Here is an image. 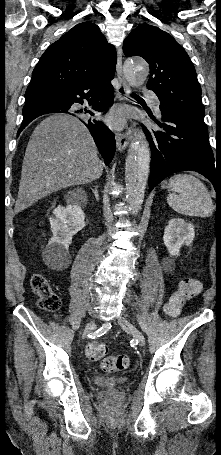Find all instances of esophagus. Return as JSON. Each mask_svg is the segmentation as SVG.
Returning a JSON list of instances; mask_svg holds the SVG:
<instances>
[{"instance_id":"1","label":"esophagus","mask_w":221,"mask_h":455,"mask_svg":"<svg viewBox=\"0 0 221 455\" xmlns=\"http://www.w3.org/2000/svg\"><path fill=\"white\" fill-rule=\"evenodd\" d=\"M116 73H117V78H118V87L116 90V98L119 101H124L127 99V96L129 94V86H128L127 80L123 74L121 47L118 50ZM132 136H133V128L131 126H128L124 132L116 133L115 139H116L118 151L123 152L126 149Z\"/></svg>"}]
</instances>
